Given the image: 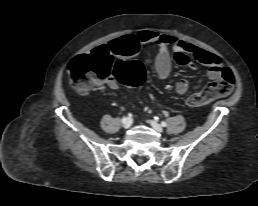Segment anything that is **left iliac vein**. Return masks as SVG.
<instances>
[{
    "label": "left iliac vein",
    "mask_w": 258,
    "mask_h": 206,
    "mask_svg": "<svg viewBox=\"0 0 258 206\" xmlns=\"http://www.w3.org/2000/svg\"><path fill=\"white\" fill-rule=\"evenodd\" d=\"M150 124H151V126L153 127V129H154L155 131H157V132H159V133L163 132V127H162L160 124H158L157 122L151 120V121H150Z\"/></svg>",
    "instance_id": "4c4485c4"
}]
</instances>
